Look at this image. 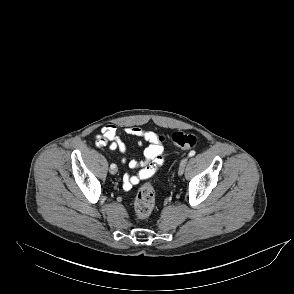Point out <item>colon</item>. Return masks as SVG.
<instances>
[{"label":"colon","instance_id":"obj_1","mask_svg":"<svg viewBox=\"0 0 294 294\" xmlns=\"http://www.w3.org/2000/svg\"><path fill=\"white\" fill-rule=\"evenodd\" d=\"M163 137V136H162ZM175 146L181 149H191L197 144V137L194 134L175 132L170 136ZM155 207V193L152 185L145 184L137 192L134 201L135 215L139 220H146L150 217Z\"/></svg>","mask_w":294,"mask_h":294}]
</instances>
